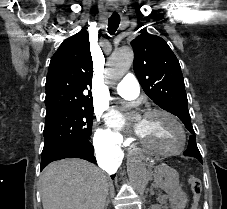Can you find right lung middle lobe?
Instances as JSON below:
<instances>
[{
    "instance_id": "right-lung-middle-lobe-1",
    "label": "right lung middle lobe",
    "mask_w": 227,
    "mask_h": 209,
    "mask_svg": "<svg viewBox=\"0 0 227 209\" xmlns=\"http://www.w3.org/2000/svg\"><path fill=\"white\" fill-rule=\"evenodd\" d=\"M44 148L89 141L93 122L92 98H59L46 104Z\"/></svg>"
}]
</instances>
